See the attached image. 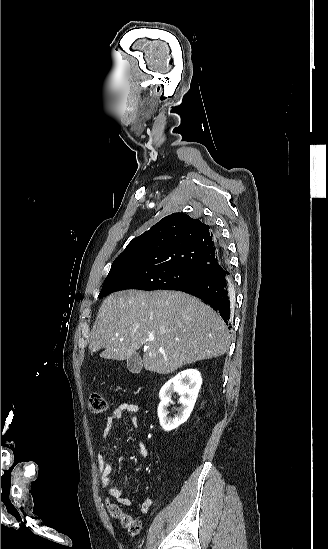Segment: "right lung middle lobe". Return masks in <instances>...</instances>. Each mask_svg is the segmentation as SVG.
Wrapping results in <instances>:
<instances>
[{"instance_id": "dd1d6c3e", "label": "right lung middle lobe", "mask_w": 328, "mask_h": 549, "mask_svg": "<svg viewBox=\"0 0 328 549\" xmlns=\"http://www.w3.org/2000/svg\"><path fill=\"white\" fill-rule=\"evenodd\" d=\"M205 278L202 274L179 267L131 264L110 272L98 298L109 293L126 290H176L179 287Z\"/></svg>"}]
</instances>
